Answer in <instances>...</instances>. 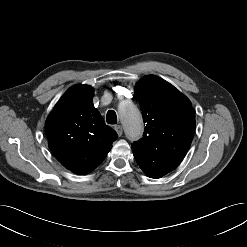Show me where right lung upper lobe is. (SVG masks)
Masks as SVG:
<instances>
[{
  "label": "right lung upper lobe",
  "mask_w": 247,
  "mask_h": 247,
  "mask_svg": "<svg viewBox=\"0 0 247 247\" xmlns=\"http://www.w3.org/2000/svg\"><path fill=\"white\" fill-rule=\"evenodd\" d=\"M93 96L91 86L69 88L45 123L53 155L76 174H87L100 165L117 139L94 107Z\"/></svg>",
  "instance_id": "right-lung-upper-lobe-1"
}]
</instances>
